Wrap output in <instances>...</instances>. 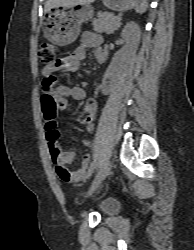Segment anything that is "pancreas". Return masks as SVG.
<instances>
[{"instance_id": "1", "label": "pancreas", "mask_w": 194, "mask_h": 250, "mask_svg": "<svg viewBox=\"0 0 194 250\" xmlns=\"http://www.w3.org/2000/svg\"><path fill=\"white\" fill-rule=\"evenodd\" d=\"M92 25L95 32L113 34L120 27L121 23L114 14L104 12L97 14V18L93 20Z\"/></svg>"}]
</instances>
